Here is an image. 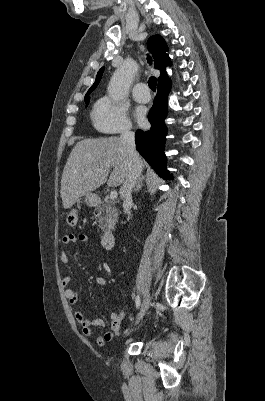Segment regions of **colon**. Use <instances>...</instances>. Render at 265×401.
I'll return each instance as SVG.
<instances>
[{
	"label": "colon",
	"instance_id": "obj_1",
	"mask_svg": "<svg viewBox=\"0 0 265 401\" xmlns=\"http://www.w3.org/2000/svg\"><path fill=\"white\" fill-rule=\"evenodd\" d=\"M78 215L77 212L71 211L66 216V222L69 226L73 227L77 224Z\"/></svg>",
	"mask_w": 265,
	"mask_h": 401
}]
</instances>
